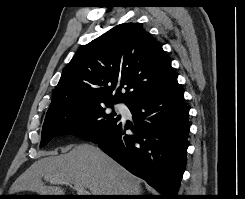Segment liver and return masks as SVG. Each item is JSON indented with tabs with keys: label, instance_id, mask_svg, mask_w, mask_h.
Instances as JSON below:
<instances>
[{
	"label": "liver",
	"instance_id": "6515ba94",
	"mask_svg": "<svg viewBox=\"0 0 245 199\" xmlns=\"http://www.w3.org/2000/svg\"><path fill=\"white\" fill-rule=\"evenodd\" d=\"M51 184H80L91 195H139L140 180L90 144L75 146L60 156L34 162L12 185L11 193L32 191L40 195H63L64 189Z\"/></svg>",
	"mask_w": 245,
	"mask_h": 199
}]
</instances>
